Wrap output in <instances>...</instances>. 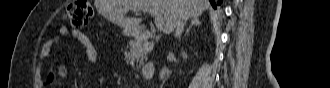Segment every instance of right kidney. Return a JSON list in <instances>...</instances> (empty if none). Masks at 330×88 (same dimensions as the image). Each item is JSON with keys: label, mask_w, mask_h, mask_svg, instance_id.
<instances>
[{"label": "right kidney", "mask_w": 330, "mask_h": 88, "mask_svg": "<svg viewBox=\"0 0 330 88\" xmlns=\"http://www.w3.org/2000/svg\"><path fill=\"white\" fill-rule=\"evenodd\" d=\"M181 54H182V57L184 59H187L188 56H187V53L186 52L182 51ZM169 73H170V70L168 68H166V67H163L161 69L160 73H159L160 79H165L169 75Z\"/></svg>", "instance_id": "ca27d5eb"}]
</instances>
